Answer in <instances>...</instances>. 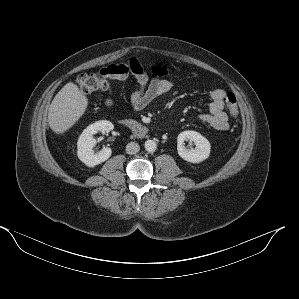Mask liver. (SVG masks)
<instances>
[{
	"instance_id": "obj_1",
	"label": "liver",
	"mask_w": 299,
	"mask_h": 299,
	"mask_svg": "<svg viewBox=\"0 0 299 299\" xmlns=\"http://www.w3.org/2000/svg\"><path fill=\"white\" fill-rule=\"evenodd\" d=\"M88 99L73 82L56 94L48 110V124L56 134L69 130L85 113Z\"/></svg>"
}]
</instances>
